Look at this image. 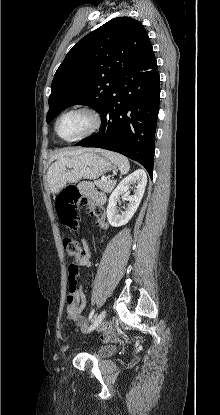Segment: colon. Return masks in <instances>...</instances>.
<instances>
[{
	"label": "colon",
	"instance_id": "colon-1",
	"mask_svg": "<svg viewBox=\"0 0 220 415\" xmlns=\"http://www.w3.org/2000/svg\"><path fill=\"white\" fill-rule=\"evenodd\" d=\"M82 199L81 192L75 186H68L63 189L58 195L56 201V211L61 224L69 230L77 231L79 223L76 213V203ZM96 217H103L105 215V208L101 205H94L92 208ZM63 247L67 257L71 260L69 268V286L67 302L72 303L74 294L78 290V281L76 263L81 259L83 251L80 244L69 238L63 239ZM112 335L110 333H103L100 335L101 339H109Z\"/></svg>",
	"mask_w": 220,
	"mask_h": 415
}]
</instances>
